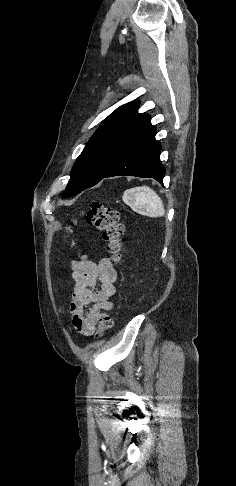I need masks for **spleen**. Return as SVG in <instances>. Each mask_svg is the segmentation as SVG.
<instances>
[{
  "mask_svg": "<svg viewBox=\"0 0 236 486\" xmlns=\"http://www.w3.org/2000/svg\"><path fill=\"white\" fill-rule=\"evenodd\" d=\"M122 199L133 211L141 215L162 217L165 214L161 198L148 186L128 189L124 192Z\"/></svg>",
  "mask_w": 236,
  "mask_h": 486,
  "instance_id": "spleen-1",
  "label": "spleen"
}]
</instances>
